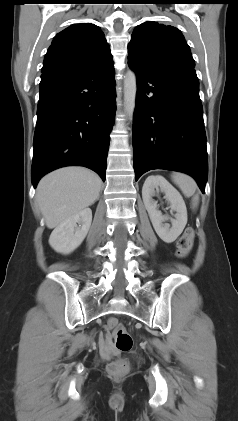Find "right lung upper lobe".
I'll list each match as a JSON object with an SVG mask.
<instances>
[{
	"label": "right lung upper lobe",
	"mask_w": 238,
	"mask_h": 421,
	"mask_svg": "<svg viewBox=\"0 0 238 421\" xmlns=\"http://www.w3.org/2000/svg\"><path fill=\"white\" fill-rule=\"evenodd\" d=\"M112 65L110 48L100 27L81 23L57 34L45 55L42 72Z\"/></svg>",
	"instance_id": "cb5924a9"
}]
</instances>
